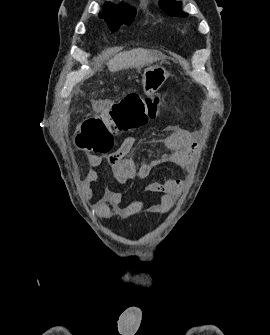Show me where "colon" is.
Masks as SVG:
<instances>
[{
  "label": "colon",
  "mask_w": 270,
  "mask_h": 335,
  "mask_svg": "<svg viewBox=\"0 0 270 335\" xmlns=\"http://www.w3.org/2000/svg\"><path fill=\"white\" fill-rule=\"evenodd\" d=\"M157 98L129 94L108 111V116H91L83 122L76 137L80 150L105 155L111 151L112 132L116 135L136 131L159 114Z\"/></svg>",
  "instance_id": "1"
}]
</instances>
